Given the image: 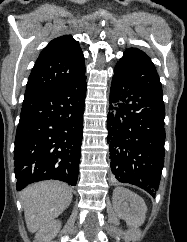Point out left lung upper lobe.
I'll return each mask as SVG.
<instances>
[{"instance_id":"1","label":"left lung upper lobe","mask_w":187,"mask_h":242,"mask_svg":"<svg viewBox=\"0 0 187 242\" xmlns=\"http://www.w3.org/2000/svg\"><path fill=\"white\" fill-rule=\"evenodd\" d=\"M115 75L153 94L163 96L156 68L146 53L127 49L114 69Z\"/></svg>"}]
</instances>
